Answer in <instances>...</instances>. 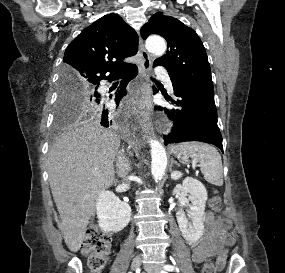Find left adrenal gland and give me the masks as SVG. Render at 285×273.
<instances>
[{"mask_svg": "<svg viewBox=\"0 0 285 273\" xmlns=\"http://www.w3.org/2000/svg\"><path fill=\"white\" fill-rule=\"evenodd\" d=\"M174 163L179 166V164H178L176 161H174L173 159H171V164H174Z\"/></svg>", "mask_w": 285, "mask_h": 273, "instance_id": "1", "label": "left adrenal gland"}]
</instances>
